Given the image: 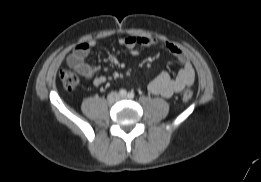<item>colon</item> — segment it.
I'll list each match as a JSON object with an SVG mask.
<instances>
[{"label":"colon","instance_id":"obj_1","mask_svg":"<svg viewBox=\"0 0 261 182\" xmlns=\"http://www.w3.org/2000/svg\"><path fill=\"white\" fill-rule=\"evenodd\" d=\"M60 79L64 88L68 91L74 90L80 82L79 76L69 69H62L60 71ZM192 96L193 92L190 89L185 90L183 93V99L185 101L190 100Z\"/></svg>","mask_w":261,"mask_h":182}]
</instances>
